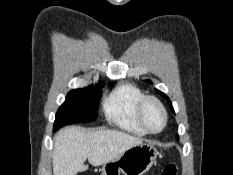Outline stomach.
<instances>
[{"mask_svg": "<svg viewBox=\"0 0 233 175\" xmlns=\"http://www.w3.org/2000/svg\"><path fill=\"white\" fill-rule=\"evenodd\" d=\"M159 152L149 142L133 146L102 167V175H143L155 162Z\"/></svg>", "mask_w": 233, "mask_h": 175, "instance_id": "1", "label": "stomach"}]
</instances>
